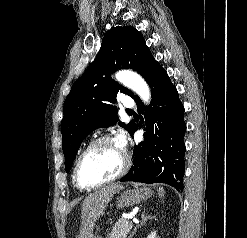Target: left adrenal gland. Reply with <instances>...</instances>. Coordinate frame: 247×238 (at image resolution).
I'll use <instances>...</instances> for the list:
<instances>
[{
  "label": "left adrenal gland",
  "instance_id": "left-adrenal-gland-1",
  "mask_svg": "<svg viewBox=\"0 0 247 238\" xmlns=\"http://www.w3.org/2000/svg\"><path fill=\"white\" fill-rule=\"evenodd\" d=\"M141 218H142L141 223L139 225H137V227L134 228V230L130 234L129 238H132L133 235L136 233L137 229H139L140 227H142L143 225H145L146 222L148 221V219H151L152 217L150 215H146L145 213H142Z\"/></svg>",
  "mask_w": 247,
  "mask_h": 238
}]
</instances>
